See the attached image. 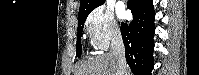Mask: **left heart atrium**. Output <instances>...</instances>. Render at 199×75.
I'll list each match as a JSON object with an SVG mask.
<instances>
[{"label":"left heart atrium","mask_w":199,"mask_h":75,"mask_svg":"<svg viewBox=\"0 0 199 75\" xmlns=\"http://www.w3.org/2000/svg\"><path fill=\"white\" fill-rule=\"evenodd\" d=\"M121 15L124 16V12H121Z\"/></svg>","instance_id":"1"}]
</instances>
